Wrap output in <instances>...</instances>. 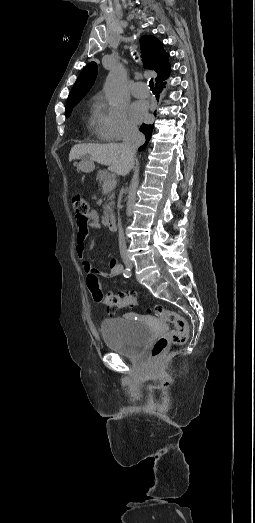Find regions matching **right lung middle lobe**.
I'll return each instance as SVG.
<instances>
[{
	"label": "right lung middle lobe",
	"mask_w": 255,
	"mask_h": 523,
	"mask_svg": "<svg viewBox=\"0 0 255 523\" xmlns=\"http://www.w3.org/2000/svg\"><path fill=\"white\" fill-rule=\"evenodd\" d=\"M78 102H67L66 105V117L68 118L72 112V108L77 104Z\"/></svg>",
	"instance_id": "dd1d6c3e"
}]
</instances>
